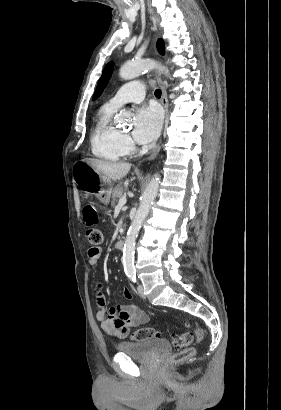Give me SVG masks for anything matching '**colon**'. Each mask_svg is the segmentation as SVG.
<instances>
[{
    "mask_svg": "<svg viewBox=\"0 0 281 410\" xmlns=\"http://www.w3.org/2000/svg\"><path fill=\"white\" fill-rule=\"evenodd\" d=\"M83 219L85 224L88 226L86 232L88 241L94 246L100 245L102 243L103 237L102 232L98 228L94 227V225H96L98 222V215L95 206L87 205L84 208ZM183 326L185 328V332L174 339V344L178 351L172 354L169 358L170 364L173 365L180 363L192 356L194 350L190 346L193 343L195 337L197 338V340H202L204 338L205 332L202 327L195 326L194 328H192L189 322H184ZM159 337H161V333L151 327L136 329L131 334V339L136 342Z\"/></svg>",
    "mask_w": 281,
    "mask_h": 410,
    "instance_id": "5ec220e1",
    "label": "colon"
}]
</instances>
